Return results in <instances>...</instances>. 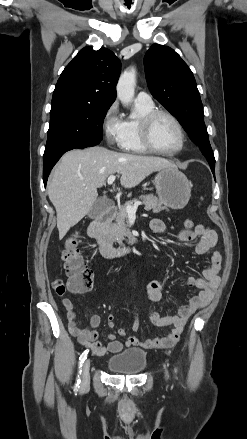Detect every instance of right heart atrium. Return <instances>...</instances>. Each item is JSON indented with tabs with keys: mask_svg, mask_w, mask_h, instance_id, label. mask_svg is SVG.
Wrapping results in <instances>:
<instances>
[{
	"mask_svg": "<svg viewBox=\"0 0 247 439\" xmlns=\"http://www.w3.org/2000/svg\"><path fill=\"white\" fill-rule=\"evenodd\" d=\"M101 128L108 145L120 146L123 136V120L119 115L117 102H113L105 110L101 120Z\"/></svg>",
	"mask_w": 247,
	"mask_h": 439,
	"instance_id": "1",
	"label": "right heart atrium"
}]
</instances>
